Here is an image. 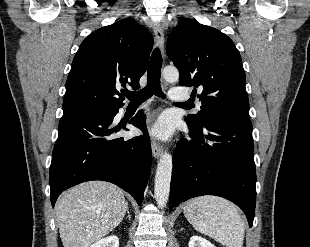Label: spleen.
Masks as SVG:
<instances>
[{
  "mask_svg": "<svg viewBox=\"0 0 310 247\" xmlns=\"http://www.w3.org/2000/svg\"><path fill=\"white\" fill-rule=\"evenodd\" d=\"M184 215L198 232L226 247H243L245 224L230 201L218 196H200L186 203Z\"/></svg>",
  "mask_w": 310,
  "mask_h": 247,
  "instance_id": "spleen-1",
  "label": "spleen"
}]
</instances>
